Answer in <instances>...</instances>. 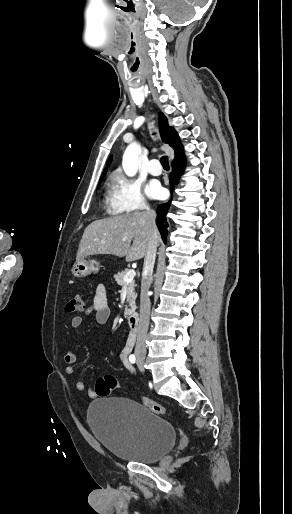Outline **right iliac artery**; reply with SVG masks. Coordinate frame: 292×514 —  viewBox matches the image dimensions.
Wrapping results in <instances>:
<instances>
[{
    "label": "right iliac artery",
    "instance_id": "right-iliac-artery-1",
    "mask_svg": "<svg viewBox=\"0 0 292 514\" xmlns=\"http://www.w3.org/2000/svg\"><path fill=\"white\" fill-rule=\"evenodd\" d=\"M129 361H130L131 363H135V361H136V357H135V355L131 354V355L129 356Z\"/></svg>",
    "mask_w": 292,
    "mask_h": 514
}]
</instances>
